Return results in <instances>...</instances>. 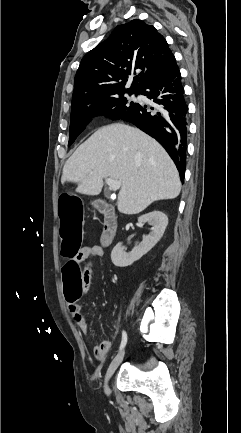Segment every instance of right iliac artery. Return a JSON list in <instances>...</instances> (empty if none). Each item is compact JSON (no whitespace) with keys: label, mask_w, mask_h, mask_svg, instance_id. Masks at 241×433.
<instances>
[{"label":"right iliac artery","mask_w":241,"mask_h":433,"mask_svg":"<svg viewBox=\"0 0 241 433\" xmlns=\"http://www.w3.org/2000/svg\"><path fill=\"white\" fill-rule=\"evenodd\" d=\"M126 343H127V333L125 331H122V341L119 350H122L125 347Z\"/></svg>","instance_id":"82829eb1"}]
</instances>
